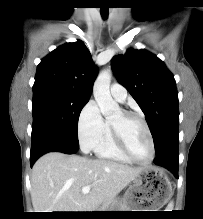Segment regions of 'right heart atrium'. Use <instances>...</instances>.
<instances>
[{
    "label": "right heart atrium",
    "mask_w": 203,
    "mask_h": 219,
    "mask_svg": "<svg viewBox=\"0 0 203 219\" xmlns=\"http://www.w3.org/2000/svg\"><path fill=\"white\" fill-rule=\"evenodd\" d=\"M105 129V120L95 101H88L77 121V134L83 152L95 149Z\"/></svg>",
    "instance_id": "d8ad5b80"
}]
</instances>
